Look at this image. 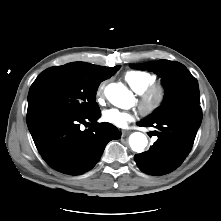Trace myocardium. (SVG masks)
Segmentation results:
<instances>
[{"label":"myocardium","instance_id":"f54148a6","mask_svg":"<svg viewBox=\"0 0 221 221\" xmlns=\"http://www.w3.org/2000/svg\"><path fill=\"white\" fill-rule=\"evenodd\" d=\"M166 87L161 83H152L139 93L138 106L141 113L149 116L155 113L164 103Z\"/></svg>","mask_w":221,"mask_h":221}]
</instances>
